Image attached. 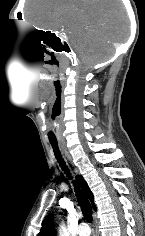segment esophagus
Returning <instances> with one entry per match:
<instances>
[{
    "label": "esophagus",
    "mask_w": 145,
    "mask_h": 236,
    "mask_svg": "<svg viewBox=\"0 0 145 236\" xmlns=\"http://www.w3.org/2000/svg\"><path fill=\"white\" fill-rule=\"evenodd\" d=\"M65 154L68 156V153L65 151ZM69 157V156H68Z\"/></svg>",
    "instance_id": "obj_1"
}]
</instances>
